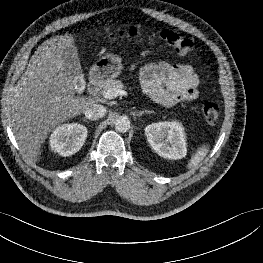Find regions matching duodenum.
<instances>
[{
	"label": "duodenum",
	"instance_id": "duodenum-1",
	"mask_svg": "<svg viewBox=\"0 0 263 263\" xmlns=\"http://www.w3.org/2000/svg\"><path fill=\"white\" fill-rule=\"evenodd\" d=\"M100 88H101L100 82L97 80H93L88 85V92L91 95H96L99 92Z\"/></svg>",
	"mask_w": 263,
	"mask_h": 263
}]
</instances>
